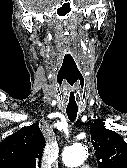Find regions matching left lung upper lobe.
Returning a JSON list of instances; mask_svg holds the SVG:
<instances>
[{"instance_id":"1","label":"left lung upper lobe","mask_w":127,"mask_h":168,"mask_svg":"<svg viewBox=\"0 0 127 168\" xmlns=\"http://www.w3.org/2000/svg\"><path fill=\"white\" fill-rule=\"evenodd\" d=\"M90 133L99 168H127V143L118 133L100 120L90 125Z\"/></svg>"}]
</instances>
